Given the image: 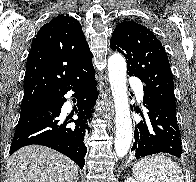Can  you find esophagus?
<instances>
[{
	"instance_id": "34e87169",
	"label": "esophagus",
	"mask_w": 196,
	"mask_h": 182,
	"mask_svg": "<svg viewBox=\"0 0 196 182\" xmlns=\"http://www.w3.org/2000/svg\"><path fill=\"white\" fill-rule=\"evenodd\" d=\"M107 107H108V109L111 111V112H113V103L111 102V100H109L108 102H107Z\"/></svg>"
}]
</instances>
